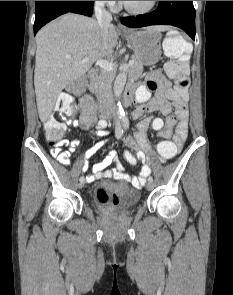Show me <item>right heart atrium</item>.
<instances>
[{"label": "right heart atrium", "mask_w": 233, "mask_h": 295, "mask_svg": "<svg viewBox=\"0 0 233 295\" xmlns=\"http://www.w3.org/2000/svg\"><path fill=\"white\" fill-rule=\"evenodd\" d=\"M97 2L103 5L109 6L111 8L115 7L116 5V1H97Z\"/></svg>", "instance_id": "d8ad5b80"}]
</instances>
